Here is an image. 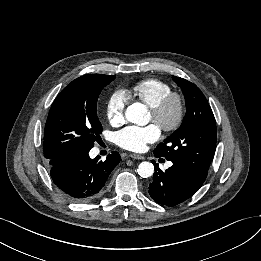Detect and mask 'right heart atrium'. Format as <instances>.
<instances>
[{
  "instance_id": "d8ad5b80",
  "label": "right heart atrium",
  "mask_w": 261,
  "mask_h": 261,
  "mask_svg": "<svg viewBox=\"0 0 261 261\" xmlns=\"http://www.w3.org/2000/svg\"><path fill=\"white\" fill-rule=\"evenodd\" d=\"M126 96L123 91L114 92L106 103V117L108 121L119 126L125 120Z\"/></svg>"
}]
</instances>
